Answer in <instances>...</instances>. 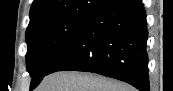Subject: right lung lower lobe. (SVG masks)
I'll return each mask as SVG.
<instances>
[{
	"label": "right lung lower lobe",
	"mask_w": 173,
	"mask_h": 91,
	"mask_svg": "<svg viewBox=\"0 0 173 91\" xmlns=\"http://www.w3.org/2000/svg\"><path fill=\"white\" fill-rule=\"evenodd\" d=\"M147 37L141 0H112L88 19L47 74L60 70L93 72L149 91Z\"/></svg>",
	"instance_id": "obj_1"
}]
</instances>
